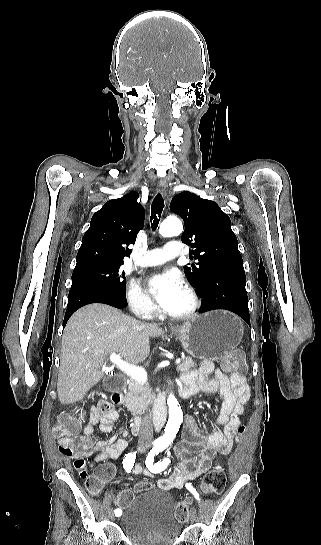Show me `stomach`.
<instances>
[{
	"instance_id": "obj_1",
	"label": "stomach",
	"mask_w": 321,
	"mask_h": 545,
	"mask_svg": "<svg viewBox=\"0 0 321 545\" xmlns=\"http://www.w3.org/2000/svg\"><path fill=\"white\" fill-rule=\"evenodd\" d=\"M184 351L195 359H223L237 349L243 337L241 319L229 311L196 315L173 329Z\"/></svg>"
}]
</instances>
